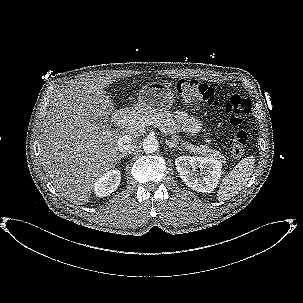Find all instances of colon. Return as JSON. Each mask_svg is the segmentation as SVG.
<instances>
[{
  "label": "colon",
  "instance_id": "1",
  "mask_svg": "<svg viewBox=\"0 0 303 303\" xmlns=\"http://www.w3.org/2000/svg\"><path fill=\"white\" fill-rule=\"evenodd\" d=\"M177 93L188 103L199 106H213L223 108L229 117L230 124L239 127L245 115L251 109L248 99L239 95H232L224 104H221L213 89L206 84L194 80H181L176 85ZM231 154L235 158H241L247 147V135L244 130L238 129L228 136Z\"/></svg>",
  "mask_w": 303,
  "mask_h": 303
}]
</instances>
